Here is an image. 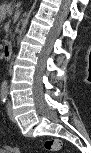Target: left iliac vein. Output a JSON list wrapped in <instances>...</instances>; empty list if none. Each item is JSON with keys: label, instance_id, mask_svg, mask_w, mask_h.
Here are the masks:
<instances>
[{"label": "left iliac vein", "instance_id": "4c4485c4", "mask_svg": "<svg viewBox=\"0 0 91 153\" xmlns=\"http://www.w3.org/2000/svg\"><path fill=\"white\" fill-rule=\"evenodd\" d=\"M7 113L9 115V118L11 119V121L15 122L12 104H11L10 100H8V102H7Z\"/></svg>", "mask_w": 91, "mask_h": 153}]
</instances>
